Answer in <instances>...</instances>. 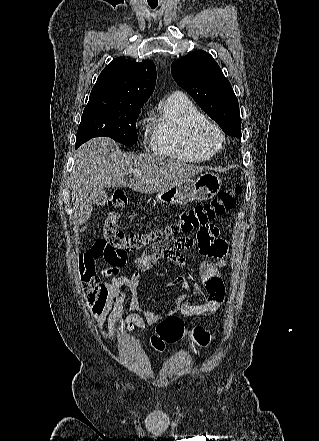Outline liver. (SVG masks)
I'll return each mask as SVG.
<instances>
[{"label": "liver", "mask_w": 319, "mask_h": 441, "mask_svg": "<svg viewBox=\"0 0 319 441\" xmlns=\"http://www.w3.org/2000/svg\"><path fill=\"white\" fill-rule=\"evenodd\" d=\"M74 162L71 196L74 218L79 224L90 218L95 198L103 188L127 186L140 193H158L205 170L166 156L122 153L118 144L106 137L83 144L74 155ZM130 173L134 178L128 181L126 176Z\"/></svg>", "instance_id": "obj_1"}]
</instances>
